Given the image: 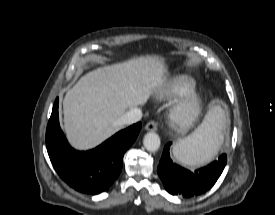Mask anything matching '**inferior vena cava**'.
<instances>
[{
    "mask_svg": "<svg viewBox=\"0 0 275 215\" xmlns=\"http://www.w3.org/2000/svg\"><path fill=\"white\" fill-rule=\"evenodd\" d=\"M142 118V112L139 108H131L124 115H122L118 120V125H130L140 121Z\"/></svg>",
    "mask_w": 275,
    "mask_h": 215,
    "instance_id": "obj_1",
    "label": "inferior vena cava"
}]
</instances>
